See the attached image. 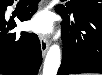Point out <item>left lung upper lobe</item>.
Returning <instances> with one entry per match:
<instances>
[{"label":"left lung upper lobe","mask_w":102,"mask_h":75,"mask_svg":"<svg viewBox=\"0 0 102 75\" xmlns=\"http://www.w3.org/2000/svg\"><path fill=\"white\" fill-rule=\"evenodd\" d=\"M57 9L67 16L102 13V0H71L67 2L66 7L60 5Z\"/></svg>","instance_id":"5c2ea615"}]
</instances>
